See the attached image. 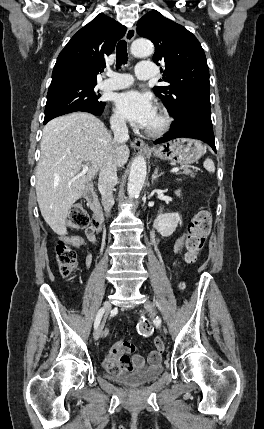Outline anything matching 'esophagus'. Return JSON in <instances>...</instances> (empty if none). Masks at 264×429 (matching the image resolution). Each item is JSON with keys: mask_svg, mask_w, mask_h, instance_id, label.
Returning a JSON list of instances; mask_svg holds the SVG:
<instances>
[{"mask_svg": "<svg viewBox=\"0 0 264 429\" xmlns=\"http://www.w3.org/2000/svg\"><path fill=\"white\" fill-rule=\"evenodd\" d=\"M135 35H136V30H135V28L134 27H130V28H128L127 29V31H126V35H125V38H126V41L128 42V43H131L132 41H133V39L135 38ZM133 146L134 147H136V148H143V149H148V146L145 144V142L142 140V139H140V138H135L134 140H133Z\"/></svg>", "mask_w": 264, "mask_h": 429, "instance_id": "obj_1", "label": "esophagus"}]
</instances>
